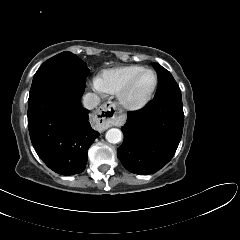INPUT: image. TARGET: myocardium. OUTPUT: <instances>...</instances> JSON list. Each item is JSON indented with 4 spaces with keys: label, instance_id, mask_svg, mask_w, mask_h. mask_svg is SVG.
Wrapping results in <instances>:
<instances>
[{
    "label": "myocardium",
    "instance_id": "obj_1",
    "mask_svg": "<svg viewBox=\"0 0 240 240\" xmlns=\"http://www.w3.org/2000/svg\"><path fill=\"white\" fill-rule=\"evenodd\" d=\"M145 72H151L154 75L155 81H154V85H153L152 89L143 99H141L139 101H130L128 99V94H129L131 88L133 87V85L135 84L137 79ZM158 83H159V78H158V74L156 73V71L153 69H150V68H144L140 72L135 74L121 88V90L117 93L118 100L121 103V105L128 110H131V111L140 110V109L144 108L151 101V99L153 98V95L156 92V89L158 87Z\"/></svg>",
    "mask_w": 240,
    "mask_h": 240
}]
</instances>
